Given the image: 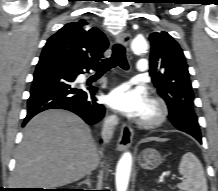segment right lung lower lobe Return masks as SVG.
<instances>
[{
    "instance_id": "right-lung-lower-lobe-1",
    "label": "right lung lower lobe",
    "mask_w": 218,
    "mask_h": 191,
    "mask_svg": "<svg viewBox=\"0 0 218 191\" xmlns=\"http://www.w3.org/2000/svg\"><path fill=\"white\" fill-rule=\"evenodd\" d=\"M95 67L54 57L40 58L34 73L23 126L33 116L48 109L69 110L88 124L99 122L105 114V108L95 98L97 88H80L74 85L76 77L84 73L83 70Z\"/></svg>"
}]
</instances>
